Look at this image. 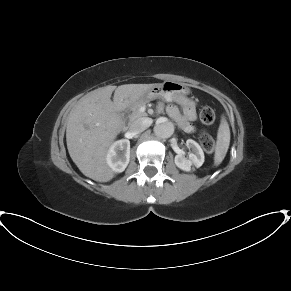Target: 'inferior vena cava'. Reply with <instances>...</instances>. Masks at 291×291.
<instances>
[{"label": "inferior vena cava", "mask_w": 291, "mask_h": 291, "mask_svg": "<svg viewBox=\"0 0 291 291\" xmlns=\"http://www.w3.org/2000/svg\"><path fill=\"white\" fill-rule=\"evenodd\" d=\"M152 123L150 118H139L133 121L129 126V132L132 135H137L146 130Z\"/></svg>", "instance_id": "602c4592"}]
</instances>
